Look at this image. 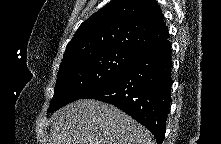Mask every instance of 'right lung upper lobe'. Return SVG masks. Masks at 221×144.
I'll use <instances>...</instances> for the list:
<instances>
[{"label":"right lung upper lobe","mask_w":221,"mask_h":144,"mask_svg":"<svg viewBox=\"0 0 221 144\" xmlns=\"http://www.w3.org/2000/svg\"><path fill=\"white\" fill-rule=\"evenodd\" d=\"M168 37L156 1L112 0L80 25L60 66L109 50L138 56Z\"/></svg>","instance_id":"cb5924a9"}]
</instances>
